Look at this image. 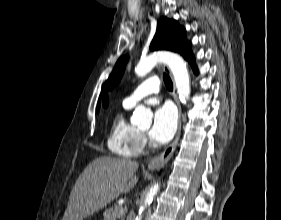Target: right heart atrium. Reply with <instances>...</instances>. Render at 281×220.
I'll list each match as a JSON object with an SVG mask.
<instances>
[{
	"instance_id": "obj_1",
	"label": "right heart atrium",
	"mask_w": 281,
	"mask_h": 220,
	"mask_svg": "<svg viewBox=\"0 0 281 220\" xmlns=\"http://www.w3.org/2000/svg\"><path fill=\"white\" fill-rule=\"evenodd\" d=\"M141 140H142V144L143 146H145L147 144V138L145 137V135H141Z\"/></svg>"
}]
</instances>
